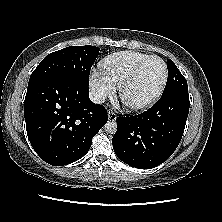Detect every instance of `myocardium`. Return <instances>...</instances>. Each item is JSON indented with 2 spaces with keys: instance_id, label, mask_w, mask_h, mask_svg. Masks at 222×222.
Wrapping results in <instances>:
<instances>
[{
  "instance_id": "1",
  "label": "myocardium",
  "mask_w": 222,
  "mask_h": 222,
  "mask_svg": "<svg viewBox=\"0 0 222 222\" xmlns=\"http://www.w3.org/2000/svg\"><path fill=\"white\" fill-rule=\"evenodd\" d=\"M153 59H158L162 62L163 67H164V75H163V79L162 82L159 86V88L157 89V91L147 100L140 102V103H130L126 100L125 98V93L127 91V89L137 80V78L139 77L142 69L145 67V65L153 60ZM168 80V67L166 62L159 56L156 55H152L148 58H146L145 60H143L135 69L134 71L128 76V78L121 84L120 88H119V95L120 98L123 102V104L130 110V111H142L145 110L147 108H149L150 106H152L162 95L166 83Z\"/></svg>"
}]
</instances>
